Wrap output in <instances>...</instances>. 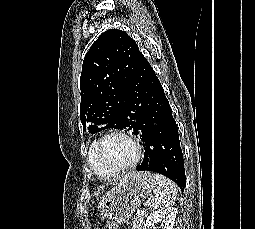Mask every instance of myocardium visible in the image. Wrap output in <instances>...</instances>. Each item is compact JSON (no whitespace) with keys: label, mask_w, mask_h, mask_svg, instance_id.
Instances as JSON below:
<instances>
[{"label":"myocardium","mask_w":255,"mask_h":229,"mask_svg":"<svg viewBox=\"0 0 255 229\" xmlns=\"http://www.w3.org/2000/svg\"><path fill=\"white\" fill-rule=\"evenodd\" d=\"M112 136H121L127 139L133 146L135 150V155L133 160L125 166L119 168H110L107 167L102 161L98 158V147L99 145L107 138ZM91 154L93 159L99 164V166L110 176H117L119 174L125 173L131 169H133L137 163L139 162L142 154V149L139 141L133 137L130 133L122 131V130H110L105 132L104 134L100 135L94 142L91 144L90 147Z\"/></svg>","instance_id":"obj_1"}]
</instances>
